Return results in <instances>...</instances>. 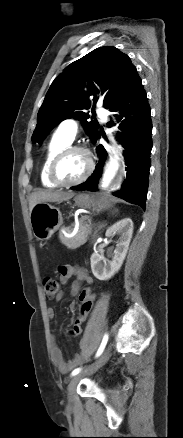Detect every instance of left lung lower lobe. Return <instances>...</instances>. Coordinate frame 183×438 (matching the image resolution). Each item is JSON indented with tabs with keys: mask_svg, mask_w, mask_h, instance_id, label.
I'll list each match as a JSON object with an SVG mask.
<instances>
[{
	"mask_svg": "<svg viewBox=\"0 0 183 438\" xmlns=\"http://www.w3.org/2000/svg\"><path fill=\"white\" fill-rule=\"evenodd\" d=\"M110 111H119V115L116 117L117 122H120L119 128L122 130L119 136L122 146L125 148L124 156L127 165L126 180L122 189L114 195L145 209L151 165L152 122L147 95L139 76L110 108ZM100 136L101 133H98L93 141L96 142ZM97 150L99 161L94 173L86 182L72 187V190H97L98 180L107 156L103 146H98Z\"/></svg>",
	"mask_w": 183,
	"mask_h": 438,
	"instance_id": "1",
	"label": "left lung lower lobe"
}]
</instances>
